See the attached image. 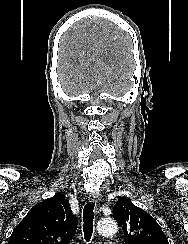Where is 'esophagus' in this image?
<instances>
[{
  "instance_id": "obj_1",
  "label": "esophagus",
  "mask_w": 188,
  "mask_h": 244,
  "mask_svg": "<svg viewBox=\"0 0 188 244\" xmlns=\"http://www.w3.org/2000/svg\"><path fill=\"white\" fill-rule=\"evenodd\" d=\"M100 199V194L99 193H90L88 200L89 202L93 203V202H98Z\"/></svg>"
}]
</instances>
